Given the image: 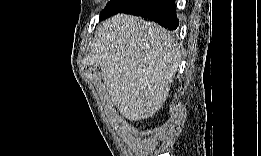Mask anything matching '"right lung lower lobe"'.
Instances as JSON below:
<instances>
[{
    "label": "right lung lower lobe",
    "instance_id": "right-lung-lower-lobe-1",
    "mask_svg": "<svg viewBox=\"0 0 261 156\" xmlns=\"http://www.w3.org/2000/svg\"><path fill=\"white\" fill-rule=\"evenodd\" d=\"M119 12L148 18L168 30L179 25L174 0H132Z\"/></svg>",
    "mask_w": 261,
    "mask_h": 156
}]
</instances>
